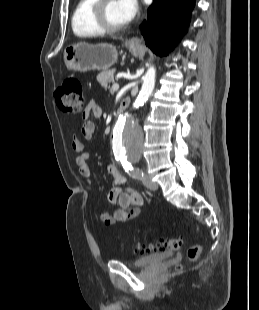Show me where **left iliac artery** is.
Listing matches in <instances>:
<instances>
[{
	"label": "left iliac artery",
	"mask_w": 259,
	"mask_h": 310,
	"mask_svg": "<svg viewBox=\"0 0 259 310\" xmlns=\"http://www.w3.org/2000/svg\"><path fill=\"white\" fill-rule=\"evenodd\" d=\"M122 165L126 172H131L134 178H140L143 176V172L135 170L132 165L126 161L122 162Z\"/></svg>",
	"instance_id": "obj_1"
}]
</instances>
